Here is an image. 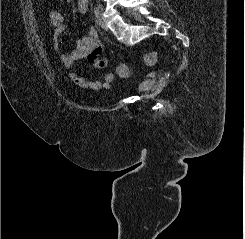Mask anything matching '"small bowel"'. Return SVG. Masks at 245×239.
<instances>
[{
    "mask_svg": "<svg viewBox=\"0 0 245 239\" xmlns=\"http://www.w3.org/2000/svg\"><path fill=\"white\" fill-rule=\"evenodd\" d=\"M60 3L63 0H58ZM89 8V0H77V9L81 14H86ZM50 21L54 27V39L65 30L64 13L60 10H53L50 13ZM103 44L99 39L98 32L94 26H90L84 37L77 41L75 49L61 56L62 64L69 70V79L72 83L84 89H108L116 79L114 72L105 73L100 79H87L80 76L74 67L79 61H87L96 69H103L110 65L109 58L101 57Z\"/></svg>",
    "mask_w": 245,
    "mask_h": 239,
    "instance_id": "obj_1",
    "label": "small bowel"
}]
</instances>
